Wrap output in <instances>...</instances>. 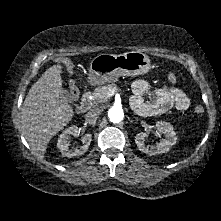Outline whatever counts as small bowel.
<instances>
[{"label": "small bowel", "instance_id": "c3829d8e", "mask_svg": "<svg viewBox=\"0 0 221 221\" xmlns=\"http://www.w3.org/2000/svg\"><path fill=\"white\" fill-rule=\"evenodd\" d=\"M132 92L131 105L134 110L140 114H162L172 107L180 111H185L190 106V99L188 96L177 87H153L145 80H136L132 84ZM147 92L152 93V101L149 104L142 98Z\"/></svg>", "mask_w": 221, "mask_h": 221}]
</instances>
